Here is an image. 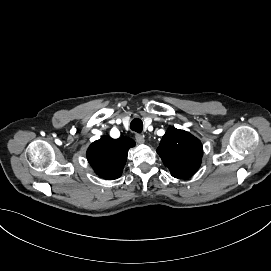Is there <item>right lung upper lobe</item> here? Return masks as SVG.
Here are the masks:
<instances>
[{"label": "right lung upper lobe", "mask_w": 271, "mask_h": 271, "mask_svg": "<svg viewBox=\"0 0 271 271\" xmlns=\"http://www.w3.org/2000/svg\"><path fill=\"white\" fill-rule=\"evenodd\" d=\"M134 145V140L129 137L112 139L103 136L89 146L87 159L98 176L117 179L122 175L128 150Z\"/></svg>", "instance_id": "1"}]
</instances>
